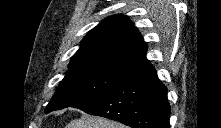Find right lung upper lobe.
<instances>
[{
    "mask_svg": "<svg viewBox=\"0 0 221 128\" xmlns=\"http://www.w3.org/2000/svg\"><path fill=\"white\" fill-rule=\"evenodd\" d=\"M146 50L132 21L126 16L114 15L88 32L68 68L98 69L127 77L150 64Z\"/></svg>",
    "mask_w": 221,
    "mask_h": 128,
    "instance_id": "obj_1",
    "label": "right lung upper lobe"
}]
</instances>
